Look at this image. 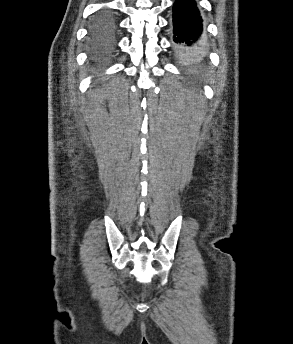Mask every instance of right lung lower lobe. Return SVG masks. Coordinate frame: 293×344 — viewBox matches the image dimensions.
Here are the masks:
<instances>
[{"label": "right lung lower lobe", "instance_id": "1", "mask_svg": "<svg viewBox=\"0 0 293 344\" xmlns=\"http://www.w3.org/2000/svg\"><path fill=\"white\" fill-rule=\"evenodd\" d=\"M114 31H115V26H114V21L112 19V26L110 27V30H109V34H108V44H110L111 40H112V36L114 34Z\"/></svg>", "mask_w": 293, "mask_h": 344}]
</instances>
